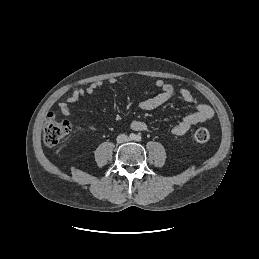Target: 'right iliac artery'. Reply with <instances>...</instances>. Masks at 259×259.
Instances as JSON below:
<instances>
[{
    "label": "right iliac artery",
    "instance_id": "obj_1",
    "mask_svg": "<svg viewBox=\"0 0 259 259\" xmlns=\"http://www.w3.org/2000/svg\"><path fill=\"white\" fill-rule=\"evenodd\" d=\"M129 138H130L131 140H134V139L136 138V135L133 134V133H131V134L129 135Z\"/></svg>",
    "mask_w": 259,
    "mask_h": 259
}]
</instances>
